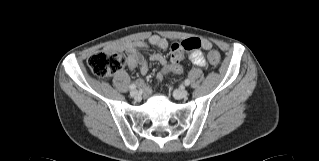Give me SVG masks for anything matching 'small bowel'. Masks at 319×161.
Returning a JSON list of instances; mask_svg holds the SVG:
<instances>
[{"label":"small bowel","instance_id":"small-bowel-1","mask_svg":"<svg viewBox=\"0 0 319 161\" xmlns=\"http://www.w3.org/2000/svg\"><path fill=\"white\" fill-rule=\"evenodd\" d=\"M149 44L159 48L166 49L168 47V42L158 36L153 35L149 38ZM203 48L209 49L211 47V43L208 40H203L202 42ZM148 43L146 42H123L116 43L106 48L107 51L110 52H125L127 54V65L130 70L135 69L137 66L140 67V73L142 75H146L149 71L147 63L144 57L140 54L139 49H147ZM188 59L190 62L198 67H203L206 65V60L202 51H195L188 55ZM150 61L158 62L164 67V72H169L172 74H180L182 72V66L180 63L174 64L171 60L166 59L160 53H154L150 56ZM160 79V76H159ZM140 87H144L143 81H138ZM146 94L149 93V89L145 88Z\"/></svg>","mask_w":319,"mask_h":161}]
</instances>
